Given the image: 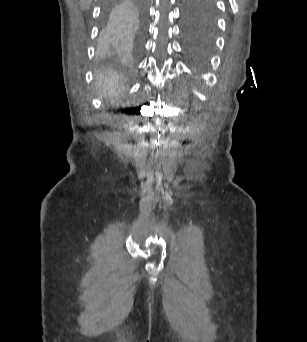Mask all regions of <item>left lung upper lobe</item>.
<instances>
[{"instance_id":"left-lung-upper-lobe-1","label":"left lung upper lobe","mask_w":307,"mask_h":342,"mask_svg":"<svg viewBox=\"0 0 307 342\" xmlns=\"http://www.w3.org/2000/svg\"><path fill=\"white\" fill-rule=\"evenodd\" d=\"M183 13L184 37L190 51L208 50L214 41L216 27L215 8L212 0H185Z\"/></svg>"}]
</instances>
